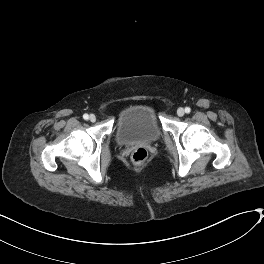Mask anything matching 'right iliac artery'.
<instances>
[{
    "label": "right iliac artery",
    "mask_w": 264,
    "mask_h": 264,
    "mask_svg": "<svg viewBox=\"0 0 264 264\" xmlns=\"http://www.w3.org/2000/svg\"><path fill=\"white\" fill-rule=\"evenodd\" d=\"M83 118H84L85 120H87V119L89 118L88 114H84V115H83Z\"/></svg>",
    "instance_id": "obj_1"
}]
</instances>
